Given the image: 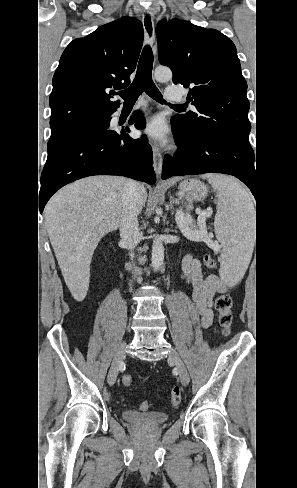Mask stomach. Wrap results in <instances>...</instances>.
Wrapping results in <instances>:
<instances>
[{
    "mask_svg": "<svg viewBox=\"0 0 297 488\" xmlns=\"http://www.w3.org/2000/svg\"><path fill=\"white\" fill-rule=\"evenodd\" d=\"M178 189L186 198L193 201H202L208 194V187L198 179L183 180Z\"/></svg>",
    "mask_w": 297,
    "mask_h": 488,
    "instance_id": "stomach-1",
    "label": "stomach"
}]
</instances>
